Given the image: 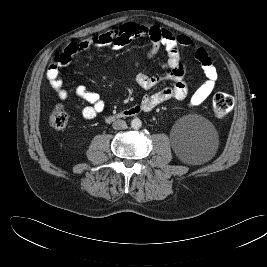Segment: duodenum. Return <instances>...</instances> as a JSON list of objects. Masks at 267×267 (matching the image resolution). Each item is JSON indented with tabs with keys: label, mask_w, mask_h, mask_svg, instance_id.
Listing matches in <instances>:
<instances>
[{
	"label": "duodenum",
	"mask_w": 267,
	"mask_h": 267,
	"mask_svg": "<svg viewBox=\"0 0 267 267\" xmlns=\"http://www.w3.org/2000/svg\"><path fill=\"white\" fill-rule=\"evenodd\" d=\"M140 112H141L140 107L138 105H135L116 113H110L108 117L111 119L132 117L138 115Z\"/></svg>",
	"instance_id": "obj_1"
}]
</instances>
